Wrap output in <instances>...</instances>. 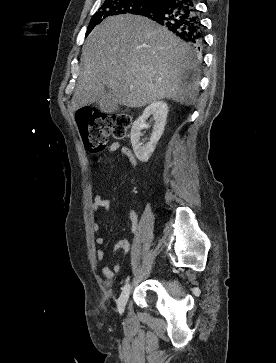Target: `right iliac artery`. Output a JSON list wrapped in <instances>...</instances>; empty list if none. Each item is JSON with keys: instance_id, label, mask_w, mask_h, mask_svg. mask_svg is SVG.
Returning a JSON list of instances; mask_svg holds the SVG:
<instances>
[{"instance_id": "1", "label": "right iliac artery", "mask_w": 276, "mask_h": 363, "mask_svg": "<svg viewBox=\"0 0 276 363\" xmlns=\"http://www.w3.org/2000/svg\"><path fill=\"white\" fill-rule=\"evenodd\" d=\"M129 279H130V278H129V276H128V277H127V279H126V281H125V283H126V284L128 283Z\"/></svg>"}]
</instances>
